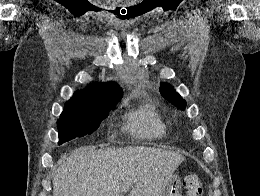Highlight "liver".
<instances>
[{
	"label": "liver",
	"instance_id": "6515ba94",
	"mask_svg": "<svg viewBox=\"0 0 260 196\" xmlns=\"http://www.w3.org/2000/svg\"><path fill=\"white\" fill-rule=\"evenodd\" d=\"M185 158L160 148H78L57 168L53 196H161Z\"/></svg>",
	"mask_w": 260,
	"mask_h": 196
}]
</instances>
